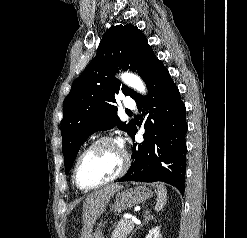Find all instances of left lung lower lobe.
Here are the masks:
<instances>
[{"label": "left lung lower lobe", "instance_id": "left-lung-lower-lobe-1", "mask_svg": "<svg viewBox=\"0 0 247 238\" xmlns=\"http://www.w3.org/2000/svg\"><path fill=\"white\" fill-rule=\"evenodd\" d=\"M147 97L135 99L138 109L147 115L144 142L133 146V162L119 181H162L184 190L186 153V108L168 70L160 64L152 72ZM137 132L135 126L131 138Z\"/></svg>", "mask_w": 247, "mask_h": 238}]
</instances>
